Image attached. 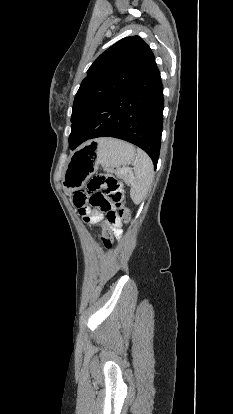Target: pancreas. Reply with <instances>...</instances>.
Wrapping results in <instances>:
<instances>
[{
  "label": "pancreas",
  "mask_w": 233,
  "mask_h": 414,
  "mask_svg": "<svg viewBox=\"0 0 233 414\" xmlns=\"http://www.w3.org/2000/svg\"><path fill=\"white\" fill-rule=\"evenodd\" d=\"M115 173L119 178H122L126 183L130 182V176L127 174V172L122 173L121 171H116Z\"/></svg>",
  "instance_id": "pancreas-1"
}]
</instances>
